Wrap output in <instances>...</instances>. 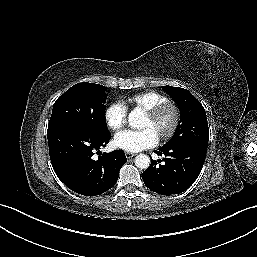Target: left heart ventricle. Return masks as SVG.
I'll return each mask as SVG.
<instances>
[{
    "instance_id": "1",
    "label": "left heart ventricle",
    "mask_w": 257,
    "mask_h": 257,
    "mask_svg": "<svg viewBox=\"0 0 257 257\" xmlns=\"http://www.w3.org/2000/svg\"><path fill=\"white\" fill-rule=\"evenodd\" d=\"M172 114L167 112L158 121H151L146 115L144 116L141 128L151 129L158 137L161 133L165 132L171 125Z\"/></svg>"
}]
</instances>
